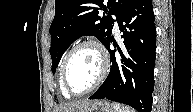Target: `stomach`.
<instances>
[{
  "label": "stomach",
  "instance_id": "1",
  "mask_svg": "<svg viewBox=\"0 0 193 112\" xmlns=\"http://www.w3.org/2000/svg\"><path fill=\"white\" fill-rule=\"evenodd\" d=\"M79 112H114L110 104L105 100L94 101L89 107Z\"/></svg>",
  "mask_w": 193,
  "mask_h": 112
}]
</instances>
